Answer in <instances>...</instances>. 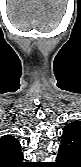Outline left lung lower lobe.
<instances>
[{"instance_id": "1", "label": "left lung lower lobe", "mask_w": 81, "mask_h": 167, "mask_svg": "<svg viewBox=\"0 0 81 167\" xmlns=\"http://www.w3.org/2000/svg\"><path fill=\"white\" fill-rule=\"evenodd\" d=\"M56 167H79L76 163L70 160L63 150H59L58 156L56 159Z\"/></svg>"}]
</instances>
